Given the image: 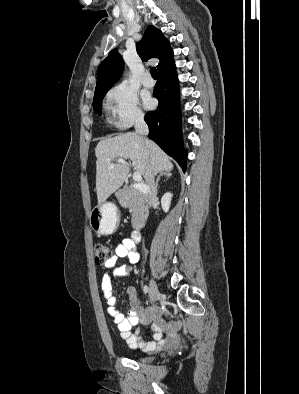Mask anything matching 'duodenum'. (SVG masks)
<instances>
[{
    "label": "duodenum",
    "instance_id": "duodenum-1",
    "mask_svg": "<svg viewBox=\"0 0 299 394\" xmlns=\"http://www.w3.org/2000/svg\"><path fill=\"white\" fill-rule=\"evenodd\" d=\"M134 189L140 191V192H141L142 194H144V195H148L149 192H150L149 187H148L146 184H144V183L134 185ZM141 228H142L141 226H140V227H137V228L132 232V239H133L134 242L140 241V238H141Z\"/></svg>",
    "mask_w": 299,
    "mask_h": 394
}]
</instances>
